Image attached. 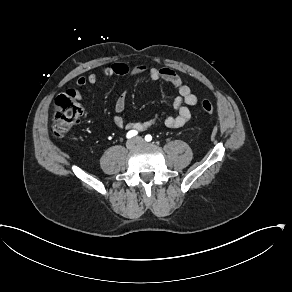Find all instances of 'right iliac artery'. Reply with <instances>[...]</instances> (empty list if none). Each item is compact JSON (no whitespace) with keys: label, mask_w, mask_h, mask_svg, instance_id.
<instances>
[{"label":"right iliac artery","mask_w":292,"mask_h":292,"mask_svg":"<svg viewBox=\"0 0 292 292\" xmlns=\"http://www.w3.org/2000/svg\"><path fill=\"white\" fill-rule=\"evenodd\" d=\"M137 133H138V132H137L136 130H130V131L127 133L126 137H127L128 139H130V138L136 136Z\"/></svg>","instance_id":"obj_1"}]
</instances>
